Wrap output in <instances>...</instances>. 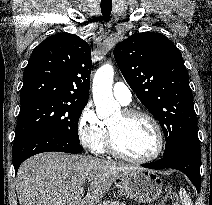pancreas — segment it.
I'll return each mask as SVG.
<instances>
[{"mask_svg":"<svg viewBox=\"0 0 212 205\" xmlns=\"http://www.w3.org/2000/svg\"><path fill=\"white\" fill-rule=\"evenodd\" d=\"M99 205H125L124 203H120L119 201H103Z\"/></svg>","mask_w":212,"mask_h":205,"instance_id":"cf45deb5","label":"pancreas"}]
</instances>
